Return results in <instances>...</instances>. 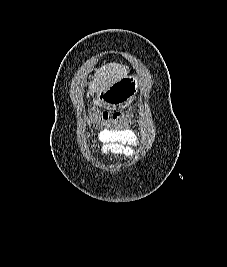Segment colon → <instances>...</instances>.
<instances>
[{"mask_svg": "<svg viewBox=\"0 0 227 267\" xmlns=\"http://www.w3.org/2000/svg\"><path fill=\"white\" fill-rule=\"evenodd\" d=\"M127 115L131 112L126 111ZM122 110H115L114 114H109V110H100L92 114V120L96 125V130H125V125H131V120H124L122 125ZM135 118V115H132ZM109 121V125H105Z\"/></svg>", "mask_w": 227, "mask_h": 267, "instance_id": "obj_1", "label": "colon"}]
</instances>
